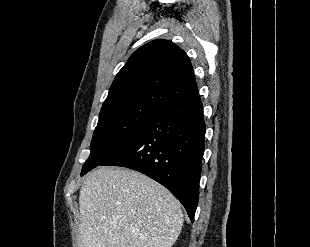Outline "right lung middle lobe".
Masks as SVG:
<instances>
[{"instance_id": "right-lung-middle-lobe-1", "label": "right lung middle lobe", "mask_w": 310, "mask_h": 247, "mask_svg": "<svg viewBox=\"0 0 310 247\" xmlns=\"http://www.w3.org/2000/svg\"><path fill=\"white\" fill-rule=\"evenodd\" d=\"M159 111L149 106H134L100 115L90 146L91 153L81 175L113 155Z\"/></svg>"}]
</instances>
